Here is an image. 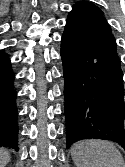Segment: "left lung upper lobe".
Segmentation results:
<instances>
[{
	"label": "left lung upper lobe",
	"instance_id": "5c2ea615",
	"mask_svg": "<svg viewBox=\"0 0 125 167\" xmlns=\"http://www.w3.org/2000/svg\"><path fill=\"white\" fill-rule=\"evenodd\" d=\"M103 17V12L97 6L89 2H78L73 6L68 19L89 20Z\"/></svg>",
	"mask_w": 125,
	"mask_h": 167
}]
</instances>
